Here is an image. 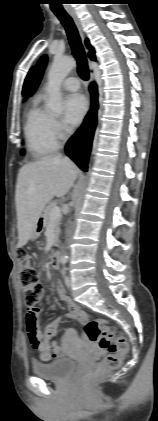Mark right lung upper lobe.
<instances>
[{"label": "right lung upper lobe", "instance_id": "1", "mask_svg": "<svg viewBox=\"0 0 158 421\" xmlns=\"http://www.w3.org/2000/svg\"><path fill=\"white\" fill-rule=\"evenodd\" d=\"M85 44H86V46H88V47H90V46H91V45H90V43H89V40H88V39H86ZM90 49H91V51L89 52V57H90L92 60H95L94 49H93L92 47H91ZM32 72H33V68L30 70V72L28 73V75H27V77H26V79H25L24 86H23V93H24V91H25V89H26V87H27V85H28V82H29V80H30V78H31Z\"/></svg>", "mask_w": 158, "mask_h": 421}]
</instances>
